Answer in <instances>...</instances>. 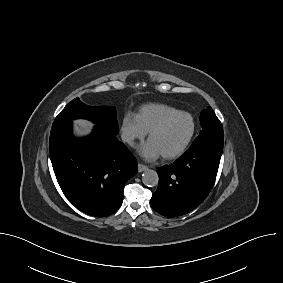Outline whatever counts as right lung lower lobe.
I'll list each match as a JSON object with an SVG mask.
<instances>
[{
	"instance_id": "98d812e1",
	"label": "right lung lower lobe",
	"mask_w": 283,
	"mask_h": 283,
	"mask_svg": "<svg viewBox=\"0 0 283 283\" xmlns=\"http://www.w3.org/2000/svg\"><path fill=\"white\" fill-rule=\"evenodd\" d=\"M72 121L52 125L49 154L66 198L91 216H109L123 202L126 181L137 172V162L116 135L95 126L80 140L71 134Z\"/></svg>"
}]
</instances>
